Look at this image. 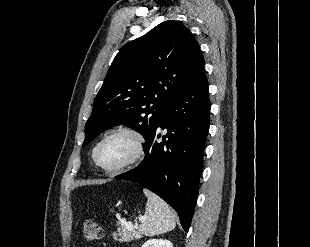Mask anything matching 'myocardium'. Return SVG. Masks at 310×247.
<instances>
[{
    "label": "myocardium",
    "instance_id": "obj_1",
    "mask_svg": "<svg viewBox=\"0 0 310 247\" xmlns=\"http://www.w3.org/2000/svg\"><path fill=\"white\" fill-rule=\"evenodd\" d=\"M117 135H127L134 143V150L132 155L123 163L114 167H105L98 160V152L101 146L110 138ZM146 150L145 137L140 130L131 126H121L109 133H107L96 145L93 150V160L95 164L107 173H119L122 172L135 164H137L144 156Z\"/></svg>",
    "mask_w": 310,
    "mask_h": 247
}]
</instances>
